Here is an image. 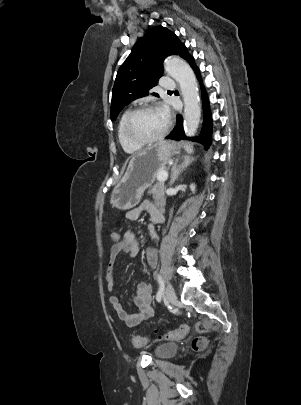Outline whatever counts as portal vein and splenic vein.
Masks as SVG:
<instances>
[{
    "instance_id": "1",
    "label": "portal vein and splenic vein",
    "mask_w": 301,
    "mask_h": 405,
    "mask_svg": "<svg viewBox=\"0 0 301 405\" xmlns=\"http://www.w3.org/2000/svg\"><path fill=\"white\" fill-rule=\"evenodd\" d=\"M168 178V173L166 171H160L157 175L159 181H165Z\"/></svg>"
}]
</instances>
